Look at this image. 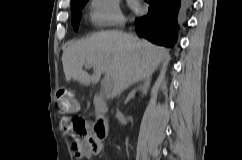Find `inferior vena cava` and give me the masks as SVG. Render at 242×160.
<instances>
[{
    "mask_svg": "<svg viewBox=\"0 0 242 160\" xmlns=\"http://www.w3.org/2000/svg\"><path fill=\"white\" fill-rule=\"evenodd\" d=\"M129 71H130V73H137L138 70H137V68H130ZM125 84H126V80L123 79L121 84H120V86H119V88H118V94L121 93V91L123 90V87H124ZM121 116H122V113L119 110H117L116 117L120 118Z\"/></svg>",
    "mask_w": 242,
    "mask_h": 160,
    "instance_id": "1",
    "label": "inferior vena cava"
}]
</instances>
